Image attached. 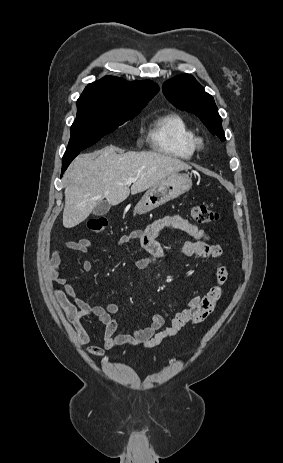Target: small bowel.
Here are the masks:
<instances>
[{
  "mask_svg": "<svg viewBox=\"0 0 283 463\" xmlns=\"http://www.w3.org/2000/svg\"><path fill=\"white\" fill-rule=\"evenodd\" d=\"M166 228L180 230L193 237V241L182 244L180 252L187 257L221 259L223 250L220 245L210 242L209 235L201 228L180 215H169L154 220L144 229H137L117 239V245L122 246L132 240H138L142 248L150 255L149 258H136L134 264L139 268H148L157 260L166 257L165 250L158 241L160 232ZM92 241L83 238L76 241H67L65 247L69 250L86 253ZM61 254L53 250L49 258L50 278L57 285L52 293L58 306L65 312L67 320L73 325L80 345H88L90 336L82 324V318L92 316L105 326L102 338V347L87 346L86 352L94 357H102L106 350L122 346H141L153 348L166 339L172 338L189 324H197L205 320L214 310L221 298L223 286L228 279V269L218 262L215 269V285L202 297L189 300L185 309L177 312L169 324H165L162 315L154 314L148 324L135 329L132 333L118 332L119 325L116 314L119 306L108 303L105 307L91 305L78 296L72 283L60 276ZM81 267L84 271L92 270L90 260H83Z\"/></svg>",
  "mask_w": 283,
  "mask_h": 463,
  "instance_id": "c3829d8e",
  "label": "small bowel"
}]
</instances>
